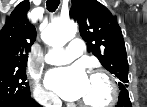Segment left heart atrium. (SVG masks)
<instances>
[{"mask_svg": "<svg viewBox=\"0 0 147 107\" xmlns=\"http://www.w3.org/2000/svg\"><path fill=\"white\" fill-rule=\"evenodd\" d=\"M88 80L83 67L76 65L51 70L46 76V85L62 99L75 101L84 95Z\"/></svg>", "mask_w": 147, "mask_h": 107, "instance_id": "1", "label": "left heart atrium"}]
</instances>
